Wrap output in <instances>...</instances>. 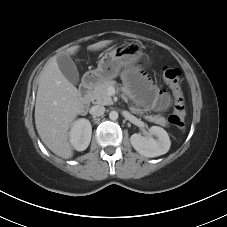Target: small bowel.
Masks as SVG:
<instances>
[{"mask_svg":"<svg viewBox=\"0 0 227 227\" xmlns=\"http://www.w3.org/2000/svg\"><path fill=\"white\" fill-rule=\"evenodd\" d=\"M121 78L125 87L132 90L144 106L157 111L166 110L170 106V96L152 85L138 67L127 68Z\"/></svg>","mask_w":227,"mask_h":227,"instance_id":"obj_1","label":"small bowel"}]
</instances>
